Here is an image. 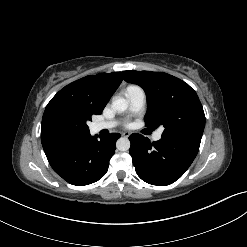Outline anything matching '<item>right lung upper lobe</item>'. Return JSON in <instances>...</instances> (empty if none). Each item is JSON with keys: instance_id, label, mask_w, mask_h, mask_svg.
<instances>
[{"instance_id": "obj_1", "label": "right lung upper lobe", "mask_w": 247, "mask_h": 247, "mask_svg": "<svg viewBox=\"0 0 247 247\" xmlns=\"http://www.w3.org/2000/svg\"><path fill=\"white\" fill-rule=\"evenodd\" d=\"M123 79L122 72L87 76L61 89L48 103L42 118L41 142L46 152L79 143L89 135L87 127L67 128L62 117L67 113L98 115Z\"/></svg>"}]
</instances>
